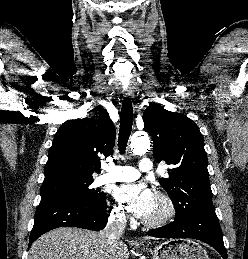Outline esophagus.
<instances>
[{
	"instance_id": "esophagus-1",
	"label": "esophagus",
	"mask_w": 248,
	"mask_h": 259,
	"mask_svg": "<svg viewBox=\"0 0 248 259\" xmlns=\"http://www.w3.org/2000/svg\"><path fill=\"white\" fill-rule=\"evenodd\" d=\"M123 94L125 97H130L132 95V92L127 90V91H124Z\"/></svg>"
}]
</instances>
